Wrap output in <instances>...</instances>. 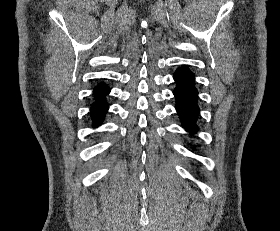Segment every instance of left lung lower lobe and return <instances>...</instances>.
I'll return each instance as SVG.
<instances>
[{"instance_id": "obj_1", "label": "left lung lower lobe", "mask_w": 280, "mask_h": 231, "mask_svg": "<svg viewBox=\"0 0 280 231\" xmlns=\"http://www.w3.org/2000/svg\"><path fill=\"white\" fill-rule=\"evenodd\" d=\"M176 88V110L181 118L183 127L189 132L198 130L195 125L199 113L197 106L198 91L194 86V74L186 67H181L174 73Z\"/></svg>"}]
</instances>
